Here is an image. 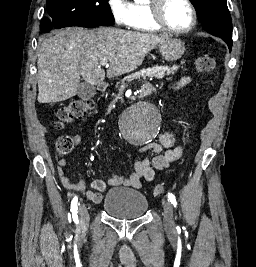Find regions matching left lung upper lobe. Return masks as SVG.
<instances>
[{
	"instance_id": "5c2ea615",
	"label": "left lung upper lobe",
	"mask_w": 256,
	"mask_h": 267,
	"mask_svg": "<svg viewBox=\"0 0 256 267\" xmlns=\"http://www.w3.org/2000/svg\"><path fill=\"white\" fill-rule=\"evenodd\" d=\"M203 28L210 34L222 38L232 48V20L226 0H191Z\"/></svg>"
}]
</instances>
